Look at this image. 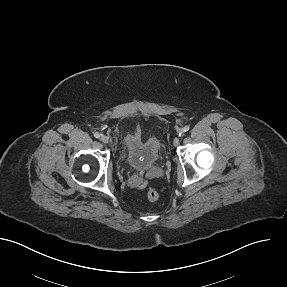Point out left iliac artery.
I'll return each instance as SVG.
<instances>
[{
	"label": "left iliac artery",
	"mask_w": 287,
	"mask_h": 287,
	"mask_svg": "<svg viewBox=\"0 0 287 287\" xmlns=\"http://www.w3.org/2000/svg\"><path fill=\"white\" fill-rule=\"evenodd\" d=\"M190 129V127L188 125H186L184 128H183V131L184 132H187L188 130ZM181 136V133L179 134Z\"/></svg>",
	"instance_id": "left-iliac-artery-1"
}]
</instances>
